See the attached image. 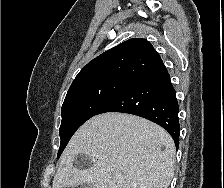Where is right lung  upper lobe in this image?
<instances>
[{
	"label": "right lung upper lobe",
	"instance_id": "1",
	"mask_svg": "<svg viewBox=\"0 0 224 188\" xmlns=\"http://www.w3.org/2000/svg\"><path fill=\"white\" fill-rule=\"evenodd\" d=\"M159 62L162 60L150 42L132 38L91 60L71 86L110 77L134 79Z\"/></svg>",
	"mask_w": 224,
	"mask_h": 188
}]
</instances>
